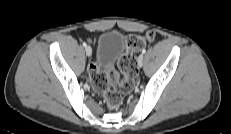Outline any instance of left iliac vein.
<instances>
[{"mask_svg": "<svg viewBox=\"0 0 231 134\" xmlns=\"http://www.w3.org/2000/svg\"><path fill=\"white\" fill-rule=\"evenodd\" d=\"M138 66L139 67H142L143 65V54H140L139 57H138Z\"/></svg>", "mask_w": 231, "mask_h": 134, "instance_id": "4c4485c4", "label": "left iliac vein"}]
</instances>
